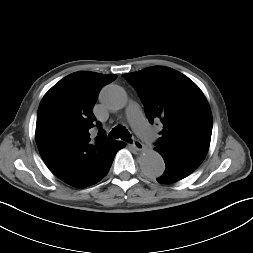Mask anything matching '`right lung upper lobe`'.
Here are the masks:
<instances>
[{
  "mask_svg": "<svg viewBox=\"0 0 253 253\" xmlns=\"http://www.w3.org/2000/svg\"><path fill=\"white\" fill-rule=\"evenodd\" d=\"M114 74L75 72L56 83L43 97L37 112L36 142L44 162L65 183L85 188L97 183L104 156L113 141L106 140L92 112L103 86ZM100 130L95 139L90 129Z\"/></svg>",
  "mask_w": 253,
  "mask_h": 253,
  "instance_id": "1",
  "label": "right lung upper lobe"
}]
</instances>
